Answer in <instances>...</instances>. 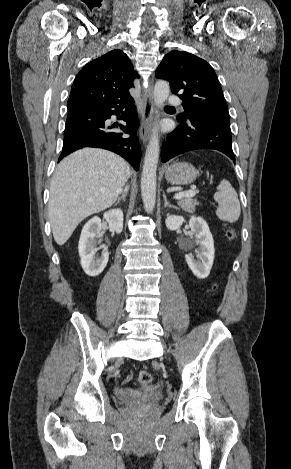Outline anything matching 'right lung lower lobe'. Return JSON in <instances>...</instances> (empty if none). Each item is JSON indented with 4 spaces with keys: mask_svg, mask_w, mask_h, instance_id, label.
<instances>
[{
    "mask_svg": "<svg viewBox=\"0 0 291 469\" xmlns=\"http://www.w3.org/2000/svg\"><path fill=\"white\" fill-rule=\"evenodd\" d=\"M135 109L133 99H111L95 101L70 110L58 162L78 149L96 147L119 154L138 170L141 150L136 135L139 122ZM111 115H116L126 125L111 123ZM119 129L123 132L118 131Z\"/></svg>",
    "mask_w": 291,
    "mask_h": 469,
    "instance_id": "right-lung-lower-lobe-1",
    "label": "right lung lower lobe"
}]
</instances>
